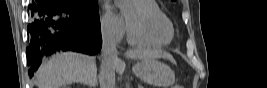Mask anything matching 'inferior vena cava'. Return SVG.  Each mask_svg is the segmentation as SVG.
I'll return each instance as SVG.
<instances>
[{
  "instance_id": "1",
  "label": "inferior vena cava",
  "mask_w": 267,
  "mask_h": 88,
  "mask_svg": "<svg viewBox=\"0 0 267 88\" xmlns=\"http://www.w3.org/2000/svg\"><path fill=\"white\" fill-rule=\"evenodd\" d=\"M101 71L99 81L101 88H115L114 63L118 59L114 30L109 25H102Z\"/></svg>"
}]
</instances>
